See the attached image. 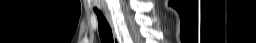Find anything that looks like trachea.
Returning a JSON list of instances; mask_svg holds the SVG:
<instances>
[{
  "instance_id": "1",
  "label": "trachea",
  "mask_w": 256,
  "mask_h": 43,
  "mask_svg": "<svg viewBox=\"0 0 256 43\" xmlns=\"http://www.w3.org/2000/svg\"><path fill=\"white\" fill-rule=\"evenodd\" d=\"M98 19L99 36L102 43H114L111 27L101 11L95 10Z\"/></svg>"
}]
</instances>
